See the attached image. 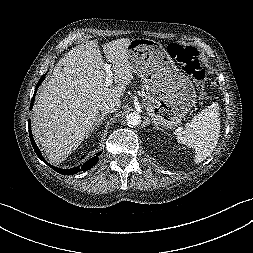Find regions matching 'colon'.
Returning a JSON list of instances; mask_svg holds the SVG:
<instances>
[{"label":"colon","mask_w":253,"mask_h":253,"mask_svg":"<svg viewBox=\"0 0 253 253\" xmlns=\"http://www.w3.org/2000/svg\"><path fill=\"white\" fill-rule=\"evenodd\" d=\"M167 52L193 78L199 93L204 96L206 71L198 51L193 47L183 46L173 42L168 45Z\"/></svg>","instance_id":"1"}]
</instances>
